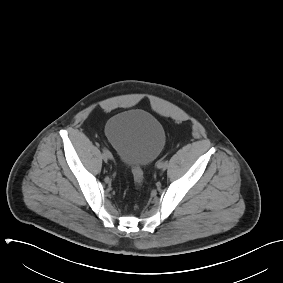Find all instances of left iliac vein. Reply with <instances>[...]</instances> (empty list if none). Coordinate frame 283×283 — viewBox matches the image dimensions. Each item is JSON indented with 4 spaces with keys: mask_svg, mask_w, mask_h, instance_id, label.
I'll use <instances>...</instances> for the list:
<instances>
[{
    "mask_svg": "<svg viewBox=\"0 0 283 283\" xmlns=\"http://www.w3.org/2000/svg\"><path fill=\"white\" fill-rule=\"evenodd\" d=\"M167 166H168L167 164H164V163H163V164H160V165L158 166V168H159V169H162V170H165V169L167 168Z\"/></svg>",
    "mask_w": 283,
    "mask_h": 283,
    "instance_id": "obj_1",
    "label": "left iliac vein"
}]
</instances>
